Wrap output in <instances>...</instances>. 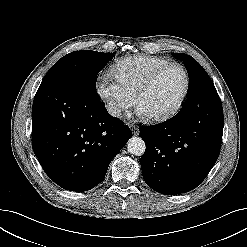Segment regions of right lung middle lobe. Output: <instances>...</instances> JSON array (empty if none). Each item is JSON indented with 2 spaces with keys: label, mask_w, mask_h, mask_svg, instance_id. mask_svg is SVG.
Returning a JSON list of instances; mask_svg holds the SVG:
<instances>
[{
  "label": "right lung middle lobe",
  "mask_w": 247,
  "mask_h": 247,
  "mask_svg": "<svg viewBox=\"0 0 247 247\" xmlns=\"http://www.w3.org/2000/svg\"><path fill=\"white\" fill-rule=\"evenodd\" d=\"M113 57L112 53L74 51L58 60L45 75L41 84L58 78L73 77L95 85L98 73Z\"/></svg>",
  "instance_id": "1"
}]
</instances>
